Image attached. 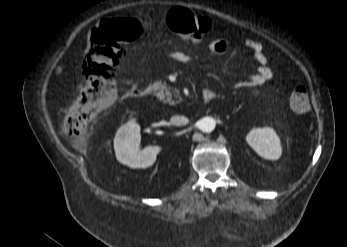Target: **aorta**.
<instances>
[{
  "instance_id": "762f6f07",
  "label": "aorta",
  "mask_w": 347,
  "mask_h": 247,
  "mask_svg": "<svg viewBox=\"0 0 347 247\" xmlns=\"http://www.w3.org/2000/svg\"><path fill=\"white\" fill-rule=\"evenodd\" d=\"M200 129L205 133H210L215 129L216 121L212 117H204L200 120Z\"/></svg>"
}]
</instances>
